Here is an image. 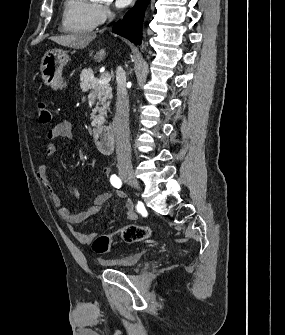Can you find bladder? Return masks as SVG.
Wrapping results in <instances>:
<instances>
[{
	"mask_svg": "<svg viewBox=\"0 0 285 335\" xmlns=\"http://www.w3.org/2000/svg\"><path fill=\"white\" fill-rule=\"evenodd\" d=\"M143 255V251H133L118 257L96 258V265H104L106 268L108 265H135L136 268Z\"/></svg>",
	"mask_w": 285,
	"mask_h": 335,
	"instance_id": "1",
	"label": "bladder"
}]
</instances>
